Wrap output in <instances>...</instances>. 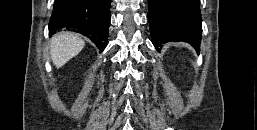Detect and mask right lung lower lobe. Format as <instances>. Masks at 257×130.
<instances>
[{
    "instance_id": "right-lung-lower-lobe-1",
    "label": "right lung lower lobe",
    "mask_w": 257,
    "mask_h": 130,
    "mask_svg": "<svg viewBox=\"0 0 257 130\" xmlns=\"http://www.w3.org/2000/svg\"><path fill=\"white\" fill-rule=\"evenodd\" d=\"M110 0H55L49 32L73 28L87 36L102 52L107 44Z\"/></svg>"
}]
</instances>
